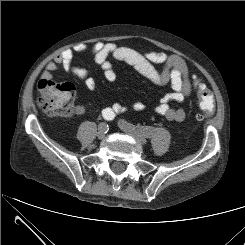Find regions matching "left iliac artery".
Listing matches in <instances>:
<instances>
[{
  "mask_svg": "<svg viewBox=\"0 0 245 245\" xmlns=\"http://www.w3.org/2000/svg\"><path fill=\"white\" fill-rule=\"evenodd\" d=\"M122 124L125 125L128 128H132L135 129L136 131H138L139 133L143 134L146 137H151L154 133V128L150 127V126H134L126 121H122Z\"/></svg>",
  "mask_w": 245,
  "mask_h": 245,
  "instance_id": "left-iliac-artery-1",
  "label": "left iliac artery"
}]
</instances>
